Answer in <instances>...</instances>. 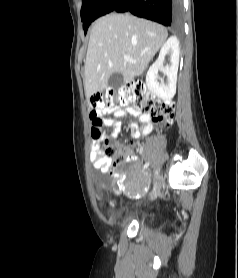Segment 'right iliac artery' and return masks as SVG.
I'll use <instances>...</instances> for the list:
<instances>
[{
    "label": "right iliac artery",
    "instance_id": "right-iliac-artery-1",
    "mask_svg": "<svg viewBox=\"0 0 238 278\" xmlns=\"http://www.w3.org/2000/svg\"><path fill=\"white\" fill-rule=\"evenodd\" d=\"M148 166H149V162H147V163L144 164L143 169L148 168Z\"/></svg>",
    "mask_w": 238,
    "mask_h": 278
}]
</instances>
